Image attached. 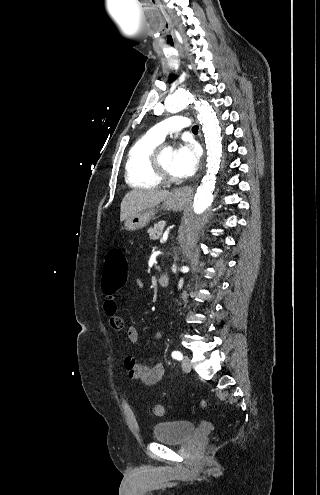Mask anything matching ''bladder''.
Here are the masks:
<instances>
[{
    "mask_svg": "<svg viewBox=\"0 0 320 495\" xmlns=\"http://www.w3.org/2000/svg\"><path fill=\"white\" fill-rule=\"evenodd\" d=\"M196 430V424L187 421H167L157 423L152 429L156 441L167 444H180L189 439Z\"/></svg>",
    "mask_w": 320,
    "mask_h": 495,
    "instance_id": "bladder-1",
    "label": "bladder"
}]
</instances>
